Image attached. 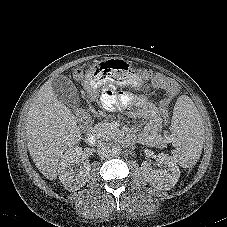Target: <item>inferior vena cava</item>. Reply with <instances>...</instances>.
Here are the masks:
<instances>
[{"label":"inferior vena cava","instance_id":"inferior-vena-cava-1","mask_svg":"<svg viewBox=\"0 0 227 227\" xmlns=\"http://www.w3.org/2000/svg\"><path fill=\"white\" fill-rule=\"evenodd\" d=\"M97 153L99 156H107L111 153L110 146L106 142L97 145Z\"/></svg>","mask_w":227,"mask_h":227}]
</instances>
